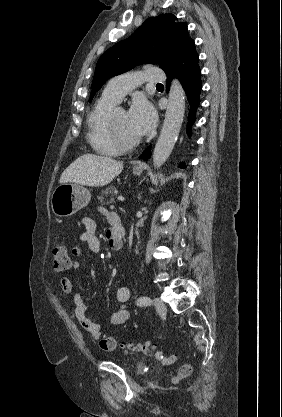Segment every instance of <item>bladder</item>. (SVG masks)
Wrapping results in <instances>:
<instances>
[{
	"instance_id": "bladder-1",
	"label": "bladder",
	"mask_w": 282,
	"mask_h": 417,
	"mask_svg": "<svg viewBox=\"0 0 282 417\" xmlns=\"http://www.w3.org/2000/svg\"><path fill=\"white\" fill-rule=\"evenodd\" d=\"M133 370H134V372H135V373H137V374H142V373L144 372V370H145V366H144V364H142V363H136V364L133 366Z\"/></svg>"
}]
</instances>
